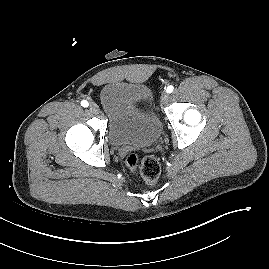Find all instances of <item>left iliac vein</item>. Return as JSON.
<instances>
[{
    "instance_id": "left-iliac-vein-1",
    "label": "left iliac vein",
    "mask_w": 269,
    "mask_h": 269,
    "mask_svg": "<svg viewBox=\"0 0 269 269\" xmlns=\"http://www.w3.org/2000/svg\"><path fill=\"white\" fill-rule=\"evenodd\" d=\"M169 101V94L167 92H163L161 95V102L166 104Z\"/></svg>"
}]
</instances>
